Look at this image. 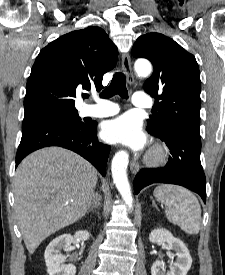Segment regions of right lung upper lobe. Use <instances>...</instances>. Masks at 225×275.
Wrapping results in <instances>:
<instances>
[{
    "label": "right lung upper lobe",
    "mask_w": 225,
    "mask_h": 275,
    "mask_svg": "<svg viewBox=\"0 0 225 275\" xmlns=\"http://www.w3.org/2000/svg\"><path fill=\"white\" fill-rule=\"evenodd\" d=\"M118 50L105 31L88 27L65 34L43 48L26 85L24 117L57 110H76L79 89L101 88L114 68Z\"/></svg>",
    "instance_id": "cb5924a9"
}]
</instances>
